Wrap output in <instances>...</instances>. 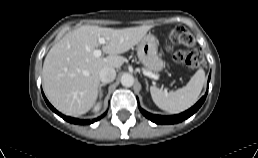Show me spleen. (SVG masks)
I'll return each instance as SVG.
<instances>
[{"label": "spleen", "mask_w": 258, "mask_h": 158, "mask_svg": "<svg viewBox=\"0 0 258 158\" xmlns=\"http://www.w3.org/2000/svg\"><path fill=\"white\" fill-rule=\"evenodd\" d=\"M204 82L205 72L203 69H199L186 86L174 92H167L155 86L150 88V92L153 101L160 109L176 114L187 110L196 103Z\"/></svg>", "instance_id": "spleen-1"}]
</instances>
